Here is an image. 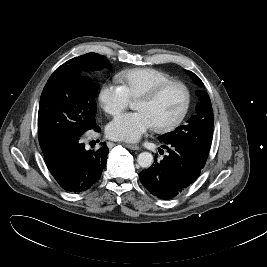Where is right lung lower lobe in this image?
<instances>
[{"label":"right lung lower lobe","instance_id":"1","mask_svg":"<svg viewBox=\"0 0 267 267\" xmlns=\"http://www.w3.org/2000/svg\"><path fill=\"white\" fill-rule=\"evenodd\" d=\"M100 132L96 126L93 129ZM108 147L88 150L81 135L67 136L44 154L45 163L58 182L68 192H83L95 185L106 165Z\"/></svg>","mask_w":267,"mask_h":267}]
</instances>
